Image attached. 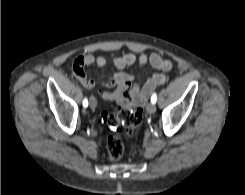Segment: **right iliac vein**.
Instances as JSON below:
<instances>
[{"label": "right iliac vein", "instance_id": "right-iliac-vein-1", "mask_svg": "<svg viewBox=\"0 0 245 195\" xmlns=\"http://www.w3.org/2000/svg\"><path fill=\"white\" fill-rule=\"evenodd\" d=\"M96 106H97V101H96V99H95L94 97H91V98H90V107H91L92 109H95Z\"/></svg>", "mask_w": 245, "mask_h": 195}]
</instances>
